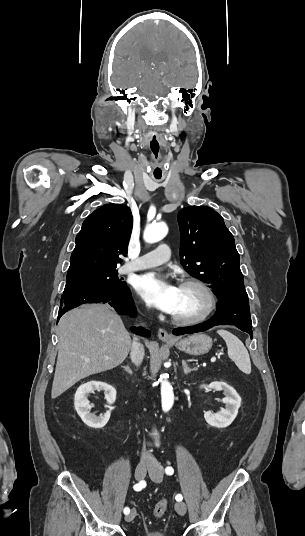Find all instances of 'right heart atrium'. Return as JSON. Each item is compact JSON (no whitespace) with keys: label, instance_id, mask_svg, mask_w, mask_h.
<instances>
[{"label":"right heart atrium","instance_id":"1","mask_svg":"<svg viewBox=\"0 0 305 536\" xmlns=\"http://www.w3.org/2000/svg\"><path fill=\"white\" fill-rule=\"evenodd\" d=\"M148 309H149V307H148V306H146L145 310H148Z\"/></svg>","mask_w":305,"mask_h":536}]
</instances>
